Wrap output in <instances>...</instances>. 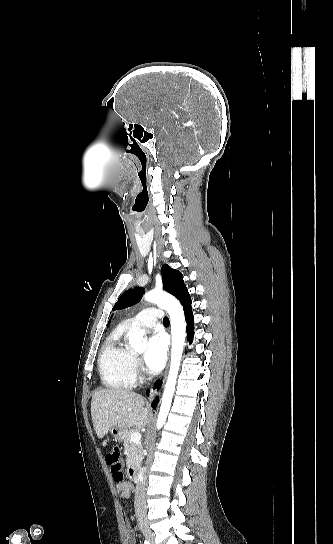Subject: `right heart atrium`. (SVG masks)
<instances>
[{"label":"right heart atrium","mask_w":333,"mask_h":544,"mask_svg":"<svg viewBox=\"0 0 333 544\" xmlns=\"http://www.w3.org/2000/svg\"><path fill=\"white\" fill-rule=\"evenodd\" d=\"M132 370L135 376L141 371L140 361L135 355L132 358Z\"/></svg>","instance_id":"right-heart-atrium-1"}]
</instances>
